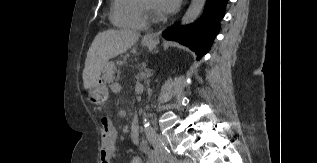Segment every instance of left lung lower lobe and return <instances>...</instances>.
Returning a JSON list of instances; mask_svg holds the SVG:
<instances>
[{
	"instance_id": "1",
	"label": "left lung lower lobe",
	"mask_w": 317,
	"mask_h": 163,
	"mask_svg": "<svg viewBox=\"0 0 317 163\" xmlns=\"http://www.w3.org/2000/svg\"><path fill=\"white\" fill-rule=\"evenodd\" d=\"M228 0H207L204 13L195 23L179 27L171 26L162 33L167 40L189 46L200 59L209 50L219 32L220 20L224 17Z\"/></svg>"
}]
</instances>
